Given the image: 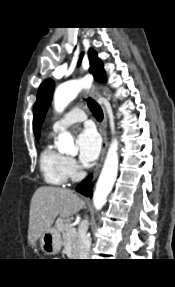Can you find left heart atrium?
Here are the masks:
<instances>
[{"instance_id":"left-heart-atrium-1","label":"left heart atrium","mask_w":175,"mask_h":287,"mask_svg":"<svg viewBox=\"0 0 175 287\" xmlns=\"http://www.w3.org/2000/svg\"><path fill=\"white\" fill-rule=\"evenodd\" d=\"M79 159L88 164L95 161L100 153L101 140L93 127H85L77 136Z\"/></svg>"}]
</instances>
